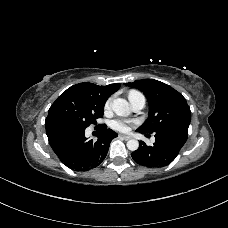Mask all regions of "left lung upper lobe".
I'll list each match as a JSON object with an SVG mask.
<instances>
[{
	"label": "left lung upper lobe",
	"instance_id": "5c2ea615",
	"mask_svg": "<svg viewBox=\"0 0 228 228\" xmlns=\"http://www.w3.org/2000/svg\"><path fill=\"white\" fill-rule=\"evenodd\" d=\"M125 85L141 90L149 102V117L139 131L156 133L172 125L189 126L191 111L186 99L171 86L154 79L136 80Z\"/></svg>",
	"mask_w": 228,
	"mask_h": 228
}]
</instances>
